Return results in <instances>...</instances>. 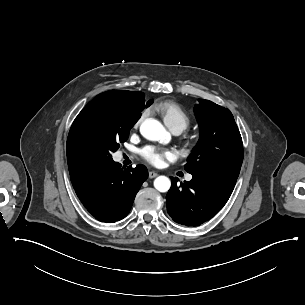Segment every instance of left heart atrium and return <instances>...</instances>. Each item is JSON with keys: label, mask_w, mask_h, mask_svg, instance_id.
Listing matches in <instances>:
<instances>
[{"label": "left heart atrium", "mask_w": 305, "mask_h": 305, "mask_svg": "<svg viewBox=\"0 0 305 305\" xmlns=\"http://www.w3.org/2000/svg\"><path fill=\"white\" fill-rule=\"evenodd\" d=\"M140 155L149 163L159 166L165 159H173L176 154L173 150L161 148L154 145H146L140 149Z\"/></svg>", "instance_id": "1"}]
</instances>
